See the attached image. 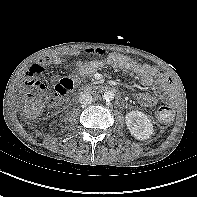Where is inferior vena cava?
<instances>
[{"instance_id": "602c4592", "label": "inferior vena cava", "mask_w": 197, "mask_h": 197, "mask_svg": "<svg viewBox=\"0 0 197 197\" xmlns=\"http://www.w3.org/2000/svg\"><path fill=\"white\" fill-rule=\"evenodd\" d=\"M92 101V95L89 93H81L79 96V102L81 104L87 105L89 103H91Z\"/></svg>"}]
</instances>
